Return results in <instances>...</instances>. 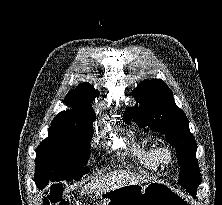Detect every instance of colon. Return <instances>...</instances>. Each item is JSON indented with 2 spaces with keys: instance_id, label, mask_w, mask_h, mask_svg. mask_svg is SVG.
Masks as SVG:
<instances>
[{
  "instance_id": "5ec220e1",
  "label": "colon",
  "mask_w": 222,
  "mask_h": 205,
  "mask_svg": "<svg viewBox=\"0 0 222 205\" xmlns=\"http://www.w3.org/2000/svg\"><path fill=\"white\" fill-rule=\"evenodd\" d=\"M42 205H69V202L63 196L61 188L54 186L43 197Z\"/></svg>"
}]
</instances>
